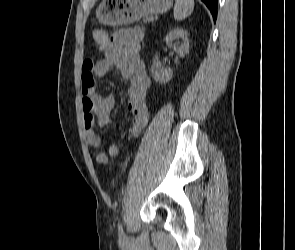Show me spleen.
<instances>
[{
  "label": "spleen",
  "mask_w": 295,
  "mask_h": 250,
  "mask_svg": "<svg viewBox=\"0 0 295 250\" xmlns=\"http://www.w3.org/2000/svg\"><path fill=\"white\" fill-rule=\"evenodd\" d=\"M194 9V0H176L174 18L181 21L188 17Z\"/></svg>",
  "instance_id": "spleen-1"
}]
</instances>
